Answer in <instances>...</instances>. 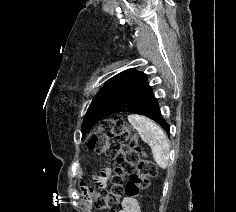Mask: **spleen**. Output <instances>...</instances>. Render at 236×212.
Segmentation results:
<instances>
[{
    "mask_svg": "<svg viewBox=\"0 0 236 212\" xmlns=\"http://www.w3.org/2000/svg\"><path fill=\"white\" fill-rule=\"evenodd\" d=\"M128 121L138 131L142 140L151 147L157 165L165 169L168 166L170 148L163 130L143 115H129Z\"/></svg>",
    "mask_w": 236,
    "mask_h": 212,
    "instance_id": "1",
    "label": "spleen"
}]
</instances>
